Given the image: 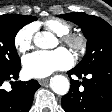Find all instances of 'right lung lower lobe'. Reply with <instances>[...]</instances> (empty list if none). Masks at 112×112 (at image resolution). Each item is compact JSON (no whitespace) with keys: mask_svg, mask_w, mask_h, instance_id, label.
<instances>
[{"mask_svg":"<svg viewBox=\"0 0 112 112\" xmlns=\"http://www.w3.org/2000/svg\"><path fill=\"white\" fill-rule=\"evenodd\" d=\"M20 69L21 63L0 76V112H28L32 105L34 94L40 87L36 80L11 82L10 92L2 89L4 81L18 79Z\"/></svg>","mask_w":112,"mask_h":112,"instance_id":"obj_1","label":"right lung lower lobe"}]
</instances>
